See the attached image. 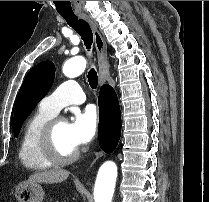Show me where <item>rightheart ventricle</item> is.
I'll return each mask as SVG.
<instances>
[{"label": "right heart ventricle", "instance_id": "right-heart-ventricle-1", "mask_svg": "<svg viewBox=\"0 0 209 202\" xmlns=\"http://www.w3.org/2000/svg\"><path fill=\"white\" fill-rule=\"evenodd\" d=\"M53 116L39 109L25 122L18 150L20 161L25 167L32 170H44L51 167L52 162L45 157L39 147V138L45 124Z\"/></svg>", "mask_w": 209, "mask_h": 202}]
</instances>
